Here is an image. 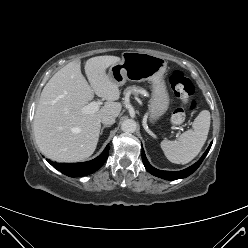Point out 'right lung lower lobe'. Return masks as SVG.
Listing matches in <instances>:
<instances>
[{"mask_svg": "<svg viewBox=\"0 0 248 248\" xmlns=\"http://www.w3.org/2000/svg\"><path fill=\"white\" fill-rule=\"evenodd\" d=\"M109 154V145L95 159L82 163H56L48 162L57 170L70 177H81L97 171L106 161Z\"/></svg>", "mask_w": 248, "mask_h": 248, "instance_id": "right-lung-lower-lobe-1", "label": "right lung lower lobe"}]
</instances>
